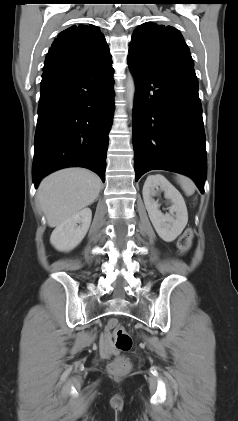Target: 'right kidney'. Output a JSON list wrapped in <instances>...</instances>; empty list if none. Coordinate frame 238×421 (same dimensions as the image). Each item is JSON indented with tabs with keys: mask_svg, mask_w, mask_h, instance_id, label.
I'll return each instance as SVG.
<instances>
[{
	"mask_svg": "<svg viewBox=\"0 0 238 421\" xmlns=\"http://www.w3.org/2000/svg\"><path fill=\"white\" fill-rule=\"evenodd\" d=\"M91 219V210L89 208L82 209L55 228L50 237L51 244L58 251H71L85 237Z\"/></svg>",
	"mask_w": 238,
	"mask_h": 421,
	"instance_id": "1",
	"label": "right kidney"
}]
</instances>
